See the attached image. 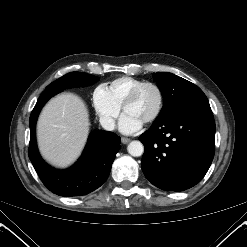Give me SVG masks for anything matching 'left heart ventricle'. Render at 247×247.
Returning a JSON list of instances; mask_svg holds the SVG:
<instances>
[{
    "label": "left heart ventricle",
    "instance_id": "obj_1",
    "mask_svg": "<svg viewBox=\"0 0 247 247\" xmlns=\"http://www.w3.org/2000/svg\"><path fill=\"white\" fill-rule=\"evenodd\" d=\"M157 104V92L152 87H146L139 94L138 98L126 107L124 112L145 122L155 112Z\"/></svg>",
    "mask_w": 247,
    "mask_h": 247
}]
</instances>
